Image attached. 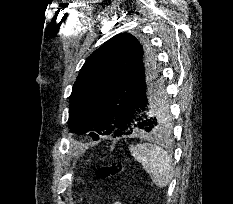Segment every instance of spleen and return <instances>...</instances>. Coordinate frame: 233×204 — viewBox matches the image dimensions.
<instances>
[{
	"label": "spleen",
	"instance_id": "spleen-1",
	"mask_svg": "<svg viewBox=\"0 0 233 204\" xmlns=\"http://www.w3.org/2000/svg\"><path fill=\"white\" fill-rule=\"evenodd\" d=\"M132 156L151 176L152 182L159 188L166 187L172 180L173 160L170 154L156 144L140 143L130 146Z\"/></svg>",
	"mask_w": 233,
	"mask_h": 204
}]
</instances>
